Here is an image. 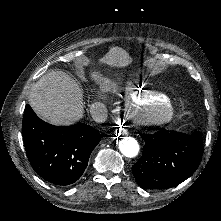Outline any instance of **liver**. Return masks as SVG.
Masks as SVG:
<instances>
[{"label":"liver","instance_id":"1","mask_svg":"<svg viewBox=\"0 0 221 221\" xmlns=\"http://www.w3.org/2000/svg\"><path fill=\"white\" fill-rule=\"evenodd\" d=\"M98 62L117 65L119 56H111L109 49ZM88 79L97 87L98 98L120 89L118 80L98 71H89ZM28 102L38 117L55 126H72L84 116V102L79 86L61 71H51L41 76L33 86Z\"/></svg>","mask_w":221,"mask_h":221}]
</instances>
